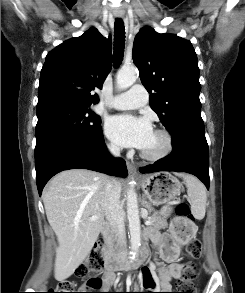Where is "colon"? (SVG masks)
<instances>
[{"mask_svg": "<svg viewBox=\"0 0 245 293\" xmlns=\"http://www.w3.org/2000/svg\"><path fill=\"white\" fill-rule=\"evenodd\" d=\"M176 213L179 217L190 220L191 212L186 203H180L176 206ZM188 232V221L179 220L174 222L171 233L174 237H180ZM104 248V240L99 238L95 250L91 255L79 265L76 269V276L85 281L84 288L86 290L97 289L102 283L97 277L103 266V258L101 250ZM202 256V243L200 240H193L188 244L187 257L189 262L185 268L183 278L176 284L175 291L172 293H194L193 280L196 277L195 269L191 260L200 259ZM78 288L69 281L59 282L57 285L48 289L46 293H91V292H75Z\"/></svg>", "mask_w": 245, "mask_h": 293, "instance_id": "5ec220e1", "label": "colon"}]
</instances>
